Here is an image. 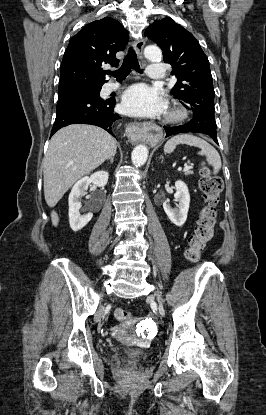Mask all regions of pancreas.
Returning a JSON list of instances; mask_svg holds the SVG:
<instances>
[{
    "mask_svg": "<svg viewBox=\"0 0 266 415\" xmlns=\"http://www.w3.org/2000/svg\"><path fill=\"white\" fill-rule=\"evenodd\" d=\"M191 174H193V172H192V171H186V172H185V175H191Z\"/></svg>",
    "mask_w": 266,
    "mask_h": 415,
    "instance_id": "pancreas-1",
    "label": "pancreas"
}]
</instances>
